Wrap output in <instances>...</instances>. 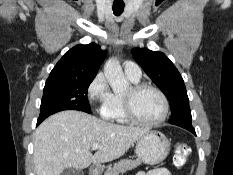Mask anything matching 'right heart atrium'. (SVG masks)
I'll use <instances>...</instances> for the list:
<instances>
[{
    "instance_id": "1",
    "label": "right heart atrium",
    "mask_w": 233,
    "mask_h": 175,
    "mask_svg": "<svg viewBox=\"0 0 233 175\" xmlns=\"http://www.w3.org/2000/svg\"><path fill=\"white\" fill-rule=\"evenodd\" d=\"M87 96L91 103L101 108L110 101L112 92L102 73L97 74L88 85Z\"/></svg>"
}]
</instances>
